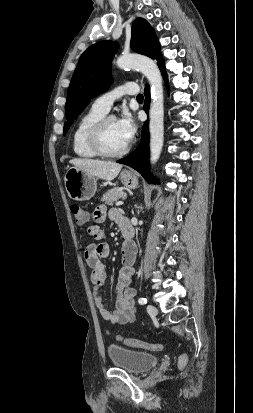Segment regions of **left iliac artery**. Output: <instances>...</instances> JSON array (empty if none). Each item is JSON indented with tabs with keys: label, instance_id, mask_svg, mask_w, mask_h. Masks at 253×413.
Wrapping results in <instances>:
<instances>
[{
	"label": "left iliac artery",
	"instance_id": "obj_1",
	"mask_svg": "<svg viewBox=\"0 0 253 413\" xmlns=\"http://www.w3.org/2000/svg\"><path fill=\"white\" fill-rule=\"evenodd\" d=\"M138 303H139L140 305L147 304V299L144 298V297H141V298H139Z\"/></svg>",
	"mask_w": 253,
	"mask_h": 413
}]
</instances>
